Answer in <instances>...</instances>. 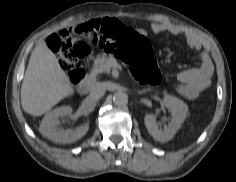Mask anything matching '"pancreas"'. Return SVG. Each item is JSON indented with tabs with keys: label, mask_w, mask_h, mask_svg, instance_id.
<instances>
[{
	"label": "pancreas",
	"mask_w": 236,
	"mask_h": 182,
	"mask_svg": "<svg viewBox=\"0 0 236 182\" xmlns=\"http://www.w3.org/2000/svg\"><path fill=\"white\" fill-rule=\"evenodd\" d=\"M112 68V65L110 64V58L106 54H99L94 59V67H93V73H109Z\"/></svg>",
	"instance_id": "obj_1"
}]
</instances>
